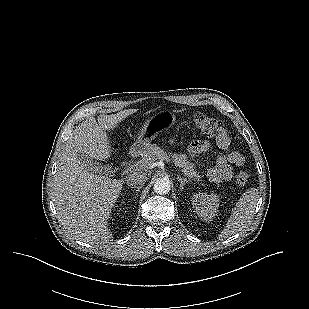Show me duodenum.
<instances>
[{"label": "duodenum", "mask_w": 309, "mask_h": 309, "mask_svg": "<svg viewBox=\"0 0 309 309\" xmlns=\"http://www.w3.org/2000/svg\"><path fill=\"white\" fill-rule=\"evenodd\" d=\"M136 154H137V150H136V149H131V150H130V156H131V157H135Z\"/></svg>", "instance_id": "410a0bca"}]
</instances>
